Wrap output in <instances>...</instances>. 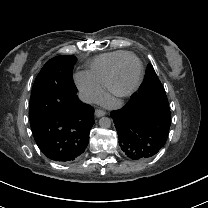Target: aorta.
Here are the masks:
<instances>
[{
  "label": "aorta",
  "instance_id": "762f6f07",
  "mask_svg": "<svg viewBox=\"0 0 208 208\" xmlns=\"http://www.w3.org/2000/svg\"><path fill=\"white\" fill-rule=\"evenodd\" d=\"M99 126L101 128H109L111 126V120L107 117H102L99 119Z\"/></svg>",
  "mask_w": 208,
  "mask_h": 208
}]
</instances>
